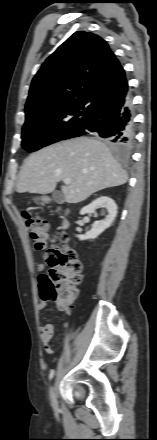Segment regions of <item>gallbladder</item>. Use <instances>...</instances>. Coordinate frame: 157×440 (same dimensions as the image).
Segmentation results:
<instances>
[{
	"instance_id": "1",
	"label": "gallbladder",
	"mask_w": 157,
	"mask_h": 440,
	"mask_svg": "<svg viewBox=\"0 0 157 440\" xmlns=\"http://www.w3.org/2000/svg\"><path fill=\"white\" fill-rule=\"evenodd\" d=\"M52 197H53V199L56 202H62L63 201V196H62L60 191H54L53 194H52Z\"/></svg>"
}]
</instances>
